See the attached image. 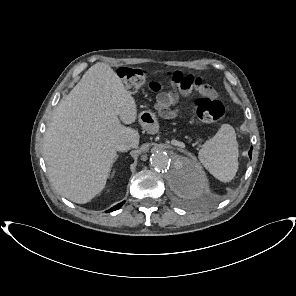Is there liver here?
Masks as SVG:
<instances>
[{
	"label": "liver",
	"mask_w": 296,
	"mask_h": 296,
	"mask_svg": "<svg viewBox=\"0 0 296 296\" xmlns=\"http://www.w3.org/2000/svg\"><path fill=\"white\" fill-rule=\"evenodd\" d=\"M136 118L135 100L114 70L105 63L90 67L57 105L44 136V160L59 194L84 204L100 193L115 162L116 143L139 144V133L120 123Z\"/></svg>",
	"instance_id": "liver-1"
}]
</instances>
